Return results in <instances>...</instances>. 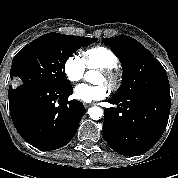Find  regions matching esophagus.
I'll list each match as a JSON object with an SVG mask.
<instances>
[{"label":"esophagus","mask_w":178,"mask_h":178,"mask_svg":"<svg viewBox=\"0 0 178 178\" xmlns=\"http://www.w3.org/2000/svg\"><path fill=\"white\" fill-rule=\"evenodd\" d=\"M92 104H89V103H84V107L87 109L91 106Z\"/></svg>","instance_id":"obj_1"}]
</instances>
